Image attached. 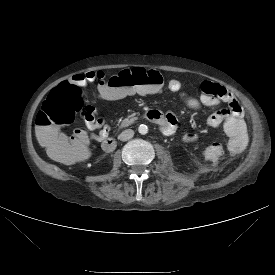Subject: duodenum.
Returning a JSON list of instances; mask_svg holds the SVG:
<instances>
[{
    "mask_svg": "<svg viewBox=\"0 0 275 275\" xmlns=\"http://www.w3.org/2000/svg\"><path fill=\"white\" fill-rule=\"evenodd\" d=\"M151 111H148L146 113V117L147 119H149V114ZM150 120V119H149ZM117 146V141L115 138L109 137L106 138L103 142H102V148L103 150L107 151V152H111L113 151Z\"/></svg>",
    "mask_w": 275,
    "mask_h": 275,
    "instance_id": "obj_1",
    "label": "duodenum"
}]
</instances>
